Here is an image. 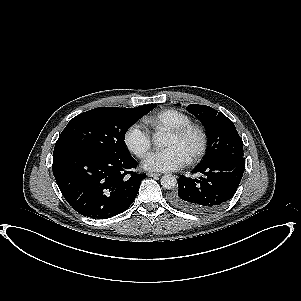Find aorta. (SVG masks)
Returning a JSON list of instances; mask_svg holds the SVG:
<instances>
[{
	"instance_id": "762f6f07",
	"label": "aorta",
	"mask_w": 301,
	"mask_h": 301,
	"mask_svg": "<svg viewBox=\"0 0 301 301\" xmlns=\"http://www.w3.org/2000/svg\"><path fill=\"white\" fill-rule=\"evenodd\" d=\"M154 143L161 146L164 143V136L161 133H156L153 136ZM163 188L172 190L177 186V179L172 174H165L160 179Z\"/></svg>"
}]
</instances>
